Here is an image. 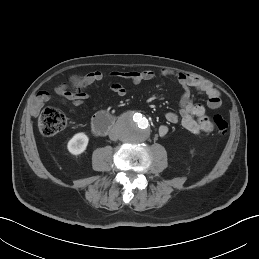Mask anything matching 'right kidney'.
<instances>
[{
  "instance_id": "ca27d5eb",
  "label": "right kidney",
  "mask_w": 259,
  "mask_h": 259,
  "mask_svg": "<svg viewBox=\"0 0 259 259\" xmlns=\"http://www.w3.org/2000/svg\"><path fill=\"white\" fill-rule=\"evenodd\" d=\"M88 141L89 138L85 133H77L68 141V151L73 155H79L86 150Z\"/></svg>"
}]
</instances>
